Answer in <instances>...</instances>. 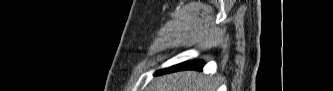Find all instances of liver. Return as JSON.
<instances>
[{"label":"liver","mask_w":333,"mask_h":91,"mask_svg":"<svg viewBox=\"0 0 333 91\" xmlns=\"http://www.w3.org/2000/svg\"><path fill=\"white\" fill-rule=\"evenodd\" d=\"M154 91H215V82L193 71L177 72L153 81Z\"/></svg>","instance_id":"6515ba94"}]
</instances>
